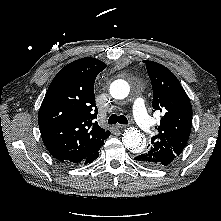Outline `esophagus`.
I'll list each match as a JSON object with an SVG mask.
<instances>
[{
  "label": "esophagus",
  "instance_id": "34e87169",
  "mask_svg": "<svg viewBox=\"0 0 221 221\" xmlns=\"http://www.w3.org/2000/svg\"><path fill=\"white\" fill-rule=\"evenodd\" d=\"M115 127H116L117 129H123V128H126V125L116 124Z\"/></svg>",
  "mask_w": 221,
  "mask_h": 221
}]
</instances>
